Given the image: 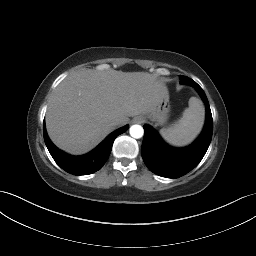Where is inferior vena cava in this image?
Masks as SVG:
<instances>
[{
	"label": "inferior vena cava",
	"instance_id": "1",
	"mask_svg": "<svg viewBox=\"0 0 256 256\" xmlns=\"http://www.w3.org/2000/svg\"><path fill=\"white\" fill-rule=\"evenodd\" d=\"M121 123H120V121L119 120H114L113 122H112V125L113 126H118V125H120Z\"/></svg>",
	"mask_w": 256,
	"mask_h": 256
}]
</instances>
